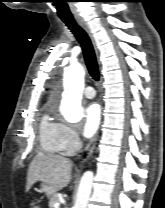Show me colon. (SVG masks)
<instances>
[{"mask_svg": "<svg viewBox=\"0 0 165 208\" xmlns=\"http://www.w3.org/2000/svg\"><path fill=\"white\" fill-rule=\"evenodd\" d=\"M29 208H41V205L37 201H32L29 204Z\"/></svg>", "mask_w": 165, "mask_h": 208, "instance_id": "1", "label": "colon"}]
</instances>
